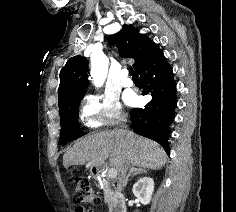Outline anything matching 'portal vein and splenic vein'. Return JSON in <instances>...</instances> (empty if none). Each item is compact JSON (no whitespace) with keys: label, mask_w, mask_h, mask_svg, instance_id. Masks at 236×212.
Instances as JSON below:
<instances>
[{"label":"portal vein and splenic vein","mask_w":236,"mask_h":212,"mask_svg":"<svg viewBox=\"0 0 236 212\" xmlns=\"http://www.w3.org/2000/svg\"><path fill=\"white\" fill-rule=\"evenodd\" d=\"M117 176V171L116 169L114 168H111L109 171H108V177L113 179Z\"/></svg>","instance_id":"portal-vein-and-splenic-vein-1"}]
</instances>
